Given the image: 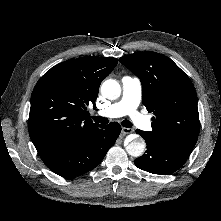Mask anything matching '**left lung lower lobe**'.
Segmentation results:
<instances>
[{
    "instance_id": "left-lung-lower-lobe-1",
    "label": "left lung lower lobe",
    "mask_w": 221,
    "mask_h": 221,
    "mask_svg": "<svg viewBox=\"0 0 221 221\" xmlns=\"http://www.w3.org/2000/svg\"><path fill=\"white\" fill-rule=\"evenodd\" d=\"M144 138L143 131L136 130ZM144 155L134 160L135 165L144 171L167 175L177 171L188 159L191 152L146 140Z\"/></svg>"
}]
</instances>
